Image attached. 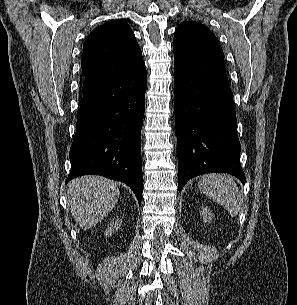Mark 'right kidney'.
Segmentation results:
<instances>
[{
  "label": "right kidney",
  "instance_id": "ca27d5eb",
  "mask_svg": "<svg viewBox=\"0 0 297 305\" xmlns=\"http://www.w3.org/2000/svg\"><path fill=\"white\" fill-rule=\"evenodd\" d=\"M122 225V220H115V222L110 223L107 230L105 231V236H111L115 230H118Z\"/></svg>",
  "mask_w": 297,
  "mask_h": 305
}]
</instances>
